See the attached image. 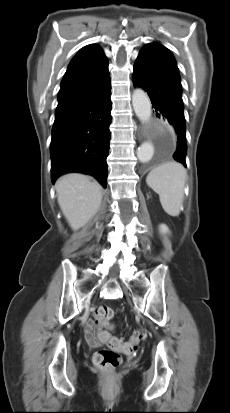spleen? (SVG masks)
Instances as JSON below:
<instances>
[{
	"mask_svg": "<svg viewBox=\"0 0 230 413\" xmlns=\"http://www.w3.org/2000/svg\"><path fill=\"white\" fill-rule=\"evenodd\" d=\"M186 170L178 162H166L154 168L146 182L158 195L164 211L173 217L180 214L183 207Z\"/></svg>",
	"mask_w": 230,
	"mask_h": 413,
	"instance_id": "1",
	"label": "spleen"
}]
</instances>
